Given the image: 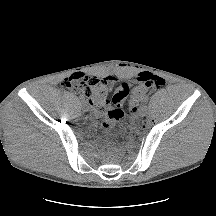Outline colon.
Listing matches in <instances>:
<instances>
[{
    "label": "colon",
    "instance_id": "5ec220e1",
    "mask_svg": "<svg viewBox=\"0 0 216 216\" xmlns=\"http://www.w3.org/2000/svg\"><path fill=\"white\" fill-rule=\"evenodd\" d=\"M65 84L88 99L96 110L103 113L101 125L104 129H112L122 120V106L129 95V110L135 112L138 104L148 97L150 90L162 88L165 81L161 77L143 73L139 77L138 86L132 88L123 83L115 88L112 94L107 78L83 76L79 79H69Z\"/></svg>",
    "mask_w": 216,
    "mask_h": 216
}]
</instances>
